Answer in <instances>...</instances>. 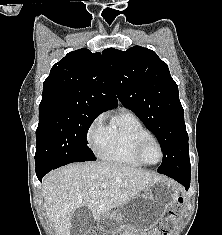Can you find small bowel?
Listing matches in <instances>:
<instances>
[{
  "label": "small bowel",
  "instance_id": "c3829d8e",
  "mask_svg": "<svg viewBox=\"0 0 222 235\" xmlns=\"http://www.w3.org/2000/svg\"><path fill=\"white\" fill-rule=\"evenodd\" d=\"M152 235H158L156 232H153Z\"/></svg>",
  "mask_w": 222,
  "mask_h": 235
}]
</instances>
